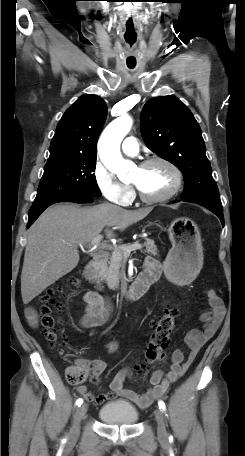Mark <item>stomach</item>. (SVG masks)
<instances>
[{
  "label": "stomach",
  "instance_id": "0dacf381",
  "mask_svg": "<svg viewBox=\"0 0 245 456\" xmlns=\"http://www.w3.org/2000/svg\"><path fill=\"white\" fill-rule=\"evenodd\" d=\"M172 243L164 270L167 277L177 285H185L194 280L203 263L201 234L197 224L190 218L173 220L168 228Z\"/></svg>",
  "mask_w": 245,
  "mask_h": 456
}]
</instances>
